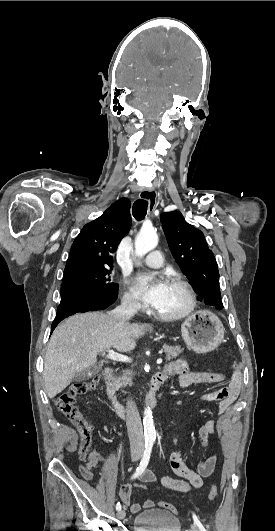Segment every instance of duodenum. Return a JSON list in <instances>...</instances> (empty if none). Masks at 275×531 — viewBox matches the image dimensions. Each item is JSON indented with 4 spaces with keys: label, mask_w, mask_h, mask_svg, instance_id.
Returning a JSON list of instances; mask_svg holds the SVG:
<instances>
[{
    "label": "duodenum",
    "mask_w": 275,
    "mask_h": 531,
    "mask_svg": "<svg viewBox=\"0 0 275 531\" xmlns=\"http://www.w3.org/2000/svg\"><path fill=\"white\" fill-rule=\"evenodd\" d=\"M113 377L114 368L111 366L105 367L100 374L101 381L105 388L106 396L110 402L113 412L117 415L125 417L131 409L129 406L118 401L116 397L115 387L113 384ZM166 379L167 374L165 372L156 373L151 379L150 392L143 401H140L134 405L135 409L141 411L144 408L155 406L158 402L159 390Z\"/></svg>",
    "instance_id": "410a0bca"
}]
</instances>
